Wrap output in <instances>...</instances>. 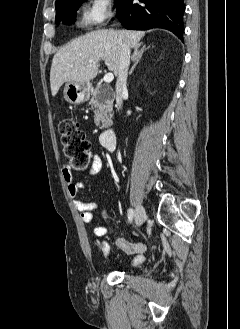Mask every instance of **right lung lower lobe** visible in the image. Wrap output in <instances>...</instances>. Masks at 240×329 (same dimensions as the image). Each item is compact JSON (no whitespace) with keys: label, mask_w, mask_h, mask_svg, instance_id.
<instances>
[{"label":"right lung lower lobe","mask_w":240,"mask_h":329,"mask_svg":"<svg viewBox=\"0 0 240 329\" xmlns=\"http://www.w3.org/2000/svg\"><path fill=\"white\" fill-rule=\"evenodd\" d=\"M122 0L117 7V18L127 29L147 30L164 28L183 41L184 0Z\"/></svg>","instance_id":"obj_1"}]
</instances>
